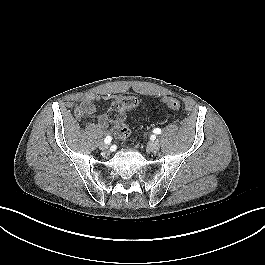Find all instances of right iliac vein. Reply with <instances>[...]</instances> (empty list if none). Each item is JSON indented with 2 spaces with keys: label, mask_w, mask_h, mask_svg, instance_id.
<instances>
[{
  "label": "right iliac vein",
  "mask_w": 265,
  "mask_h": 265,
  "mask_svg": "<svg viewBox=\"0 0 265 265\" xmlns=\"http://www.w3.org/2000/svg\"><path fill=\"white\" fill-rule=\"evenodd\" d=\"M99 148H100L101 150H103V151H106V150H108L109 145L106 144V143L101 142V143H99Z\"/></svg>",
  "instance_id": "1"
}]
</instances>
